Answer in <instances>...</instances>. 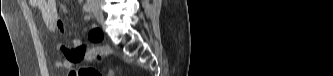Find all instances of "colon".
Instances as JSON below:
<instances>
[{"label": "colon", "instance_id": "1", "mask_svg": "<svg viewBox=\"0 0 333 76\" xmlns=\"http://www.w3.org/2000/svg\"><path fill=\"white\" fill-rule=\"evenodd\" d=\"M79 75L80 76H101L100 72H98L97 70H95L94 68H81L79 69ZM109 76H113L114 72L112 70H110L108 72Z\"/></svg>", "mask_w": 333, "mask_h": 76}]
</instances>
